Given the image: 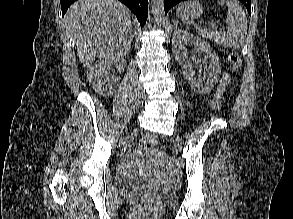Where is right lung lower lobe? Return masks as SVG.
Listing matches in <instances>:
<instances>
[{"label":"right lung lower lobe","mask_w":293,"mask_h":219,"mask_svg":"<svg viewBox=\"0 0 293 219\" xmlns=\"http://www.w3.org/2000/svg\"><path fill=\"white\" fill-rule=\"evenodd\" d=\"M76 0H60L62 16L68 7ZM137 16L141 26H144L148 16V0H120Z\"/></svg>","instance_id":"right-lung-lower-lobe-1"}]
</instances>
